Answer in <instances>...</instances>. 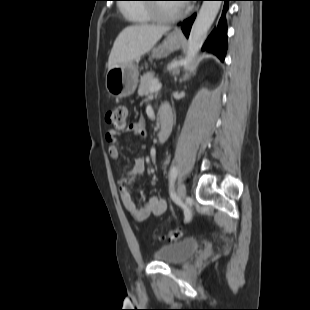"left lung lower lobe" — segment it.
Segmentation results:
<instances>
[{
	"label": "left lung lower lobe",
	"mask_w": 310,
	"mask_h": 310,
	"mask_svg": "<svg viewBox=\"0 0 310 310\" xmlns=\"http://www.w3.org/2000/svg\"><path fill=\"white\" fill-rule=\"evenodd\" d=\"M221 1H224V9L222 12V17L218 23L217 28H215L212 31L202 49L203 50L208 49L209 51L213 52L221 61H224L227 49V35H226L227 28L224 15L226 10L228 9V2L232 0H221ZM195 16L196 15L191 16L181 24L182 31L186 37L189 36L191 26L195 20Z\"/></svg>",
	"instance_id": "left-lung-lower-lobe-1"
}]
</instances>
